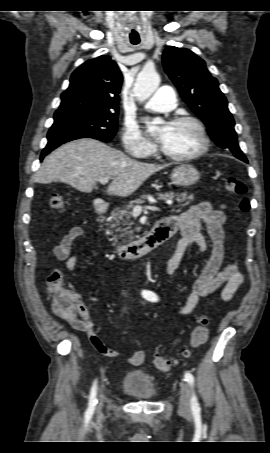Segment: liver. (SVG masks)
Masks as SVG:
<instances>
[{
  "instance_id": "liver-1",
  "label": "liver",
  "mask_w": 270,
  "mask_h": 453,
  "mask_svg": "<svg viewBox=\"0 0 270 453\" xmlns=\"http://www.w3.org/2000/svg\"><path fill=\"white\" fill-rule=\"evenodd\" d=\"M167 165L148 164L130 159L119 150L91 138L68 142L49 154L35 174V182H64L80 192H92L102 178L113 181L109 195L127 197L152 174Z\"/></svg>"
}]
</instances>
